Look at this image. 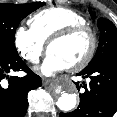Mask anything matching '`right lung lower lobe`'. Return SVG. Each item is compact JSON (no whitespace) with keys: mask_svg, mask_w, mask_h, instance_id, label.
<instances>
[{"mask_svg":"<svg viewBox=\"0 0 117 117\" xmlns=\"http://www.w3.org/2000/svg\"><path fill=\"white\" fill-rule=\"evenodd\" d=\"M25 71L24 77L8 76L10 71ZM5 78L8 79L5 81ZM42 85L41 78L34 74L18 56L0 58V117H24L30 90Z\"/></svg>","mask_w":117,"mask_h":117,"instance_id":"98d812e1","label":"right lung lower lobe"}]
</instances>
